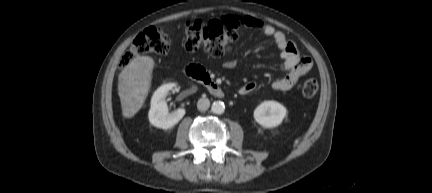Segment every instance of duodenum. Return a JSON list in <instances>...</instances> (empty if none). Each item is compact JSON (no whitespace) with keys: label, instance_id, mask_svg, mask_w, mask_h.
<instances>
[{"label":"duodenum","instance_id":"410a0bca","mask_svg":"<svg viewBox=\"0 0 432 193\" xmlns=\"http://www.w3.org/2000/svg\"><path fill=\"white\" fill-rule=\"evenodd\" d=\"M185 74L193 80L202 83L211 95L217 98L225 96L224 90L208 74V72L198 65H190L185 68Z\"/></svg>","mask_w":432,"mask_h":193}]
</instances>
